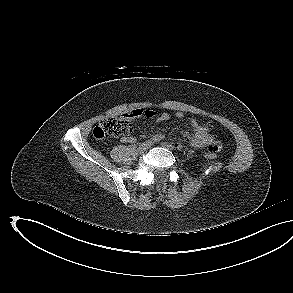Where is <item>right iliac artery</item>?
I'll return each mask as SVG.
<instances>
[{
  "instance_id": "82829eb1",
  "label": "right iliac artery",
  "mask_w": 293,
  "mask_h": 293,
  "mask_svg": "<svg viewBox=\"0 0 293 293\" xmlns=\"http://www.w3.org/2000/svg\"><path fill=\"white\" fill-rule=\"evenodd\" d=\"M164 138V135L162 134H157V135H154L152 138H151V142H159L160 140H162Z\"/></svg>"
}]
</instances>
